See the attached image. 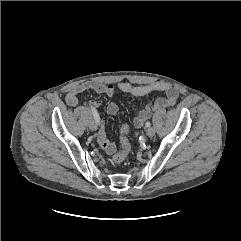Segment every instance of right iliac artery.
I'll return each instance as SVG.
<instances>
[{
    "instance_id": "1",
    "label": "right iliac artery",
    "mask_w": 241,
    "mask_h": 241,
    "mask_svg": "<svg viewBox=\"0 0 241 241\" xmlns=\"http://www.w3.org/2000/svg\"><path fill=\"white\" fill-rule=\"evenodd\" d=\"M91 111H92L95 121L97 122V124H99L100 117H99L97 110L95 108L91 107Z\"/></svg>"
}]
</instances>
